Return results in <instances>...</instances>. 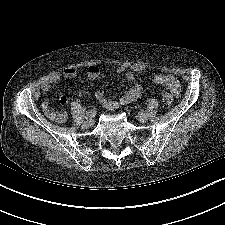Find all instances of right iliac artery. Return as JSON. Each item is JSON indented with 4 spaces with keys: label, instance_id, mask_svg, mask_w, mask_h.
Instances as JSON below:
<instances>
[{
    "label": "right iliac artery",
    "instance_id": "1",
    "mask_svg": "<svg viewBox=\"0 0 225 225\" xmlns=\"http://www.w3.org/2000/svg\"><path fill=\"white\" fill-rule=\"evenodd\" d=\"M96 112L97 110L95 108L89 110L87 113H86V116H85V119H92L95 115H96Z\"/></svg>",
    "mask_w": 225,
    "mask_h": 225
}]
</instances>
